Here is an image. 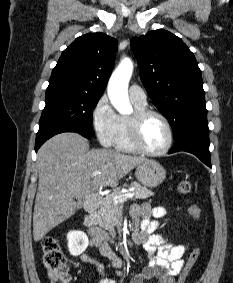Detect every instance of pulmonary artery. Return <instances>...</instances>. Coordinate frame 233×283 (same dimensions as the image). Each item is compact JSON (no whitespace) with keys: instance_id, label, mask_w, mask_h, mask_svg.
Masks as SVG:
<instances>
[{"instance_id":"obj_1","label":"pulmonary artery","mask_w":233,"mask_h":283,"mask_svg":"<svg viewBox=\"0 0 233 283\" xmlns=\"http://www.w3.org/2000/svg\"><path fill=\"white\" fill-rule=\"evenodd\" d=\"M129 97L131 101L138 105H146L147 97L144 90L138 85H131L129 88Z\"/></svg>"}]
</instances>
